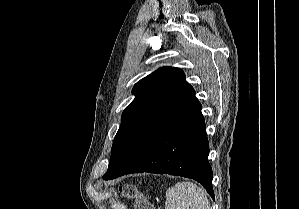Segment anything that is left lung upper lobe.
I'll list each match as a JSON object with an SVG mask.
<instances>
[{"instance_id":"5c2ea615","label":"left lung upper lobe","mask_w":299,"mask_h":209,"mask_svg":"<svg viewBox=\"0 0 299 209\" xmlns=\"http://www.w3.org/2000/svg\"><path fill=\"white\" fill-rule=\"evenodd\" d=\"M188 85L184 72L175 67L160 68L134 85L132 93L135 98L122 113L121 125L112 145L109 167L136 130Z\"/></svg>"}]
</instances>
